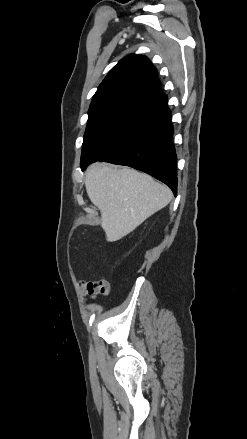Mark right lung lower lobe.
Segmentation results:
<instances>
[{
  "instance_id": "98d812e1",
  "label": "right lung lower lobe",
  "mask_w": 247,
  "mask_h": 439,
  "mask_svg": "<svg viewBox=\"0 0 247 439\" xmlns=\"http://www.w3.org/2000/svg\"><path fill=\"white\" fill-rule=\"evenodd\" d=\"M172 135L171 111L166 105L99 161L126 165L146 172L169 186L176 196L177 159ZM88 165L81 167L82 170Z\"/></svg>"
}]
</instances>
